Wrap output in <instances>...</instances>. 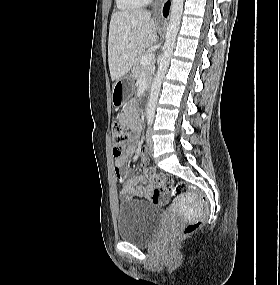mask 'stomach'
Returning a JSON list of instances; mask_svg holds the SVG:
<instances>
[{"label": "stomach", "mask_w": 280, "mask_h": 285, "mask_svg": "<svg viewBox=\"0 0 280 285\" xmlns=\"http://www.w3.org/2000/svg\"><path fill=\"white\" fill-rule=\"evenodd\" d=\"M133 79L131 75H126L117 81L113 87L112 103L114 106H120L127 98L128 89L132 85Z\"/></svg>", "instance_id": "stomach-1"}]
</instances>
